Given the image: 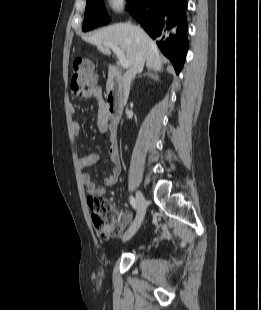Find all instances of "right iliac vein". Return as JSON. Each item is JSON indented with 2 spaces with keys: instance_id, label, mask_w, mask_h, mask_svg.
<instances>
[{
  "instance_id": "obj_1",
  "label": "right iliac vein",
  "mask_w": 261,
  "mask_h": 310,
  "mask_svg": "<svg viewBox=\"0 0 261 310\" xmlns=\"http://www.w3.org/2000/svg\"><path fill=\"white\" fill-rule=\"evenodd\" d=\"M136 201H137V205H138L137 215H136L134 222L132 223V225L128 229V231L124 234L123 241H127L134 236V234L140 228V226L143 222L145 213H146L147 203H146V199H145V197L141 191H137Z\"/></svg>"
}]
</instances>
